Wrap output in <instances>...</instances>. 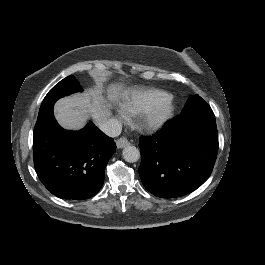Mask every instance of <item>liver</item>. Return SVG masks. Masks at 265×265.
<instances>
[{
  "instance_id": "obj_1",
  "label": "liver",
  "mask_w": 265,
  "mask_h": 265,
  "mask_svg": "<svg viewBox=\"0 0 265 265\" xmlns=\"http://www.w3.org/2000/svg\"><path fill=\"white\" fill-rule=\"evenodd\" d=\"M129 84L111 81L102 88L101 80L93 78V84L83 91L59 98L53 106L57 124L65 131H80L91 119L99 127L114 118V111L131 100Z\"/></svg>"
}]
</instances>
